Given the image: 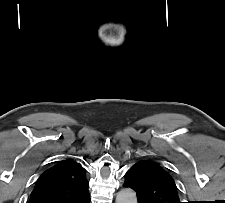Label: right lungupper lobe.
<instances>
[{
  "label": "right lung upper lobe",
  "mask_w": 225,
  "mask_h": 203,
  "mask_svg": "<svg viewBox=\"0 0 225 203\" xmlns=\"http://www.w3.org/2000/svg\"><path fill=\"white\" fill-rule=\"evenodd\" d=\"M85 169L77 161H59L39 177L29 203H81L89 195Z\"/></svg>",
  "instance_id": "1"
}]
</instances>
